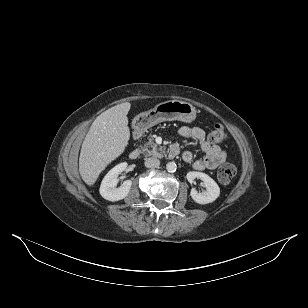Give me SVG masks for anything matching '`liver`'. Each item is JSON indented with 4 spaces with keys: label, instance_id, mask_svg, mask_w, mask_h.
Here are the masks:
<instances>
[{
    "label": "liver",
    "instance_id": "6515ba94",
    "mask_svg": "<svg viewBox=\"0 0 308 308\" xmlns=\"http://www.w3.org/2000/svg\"><path fill=\"white\" fill-rule=\"evenodd\" d=\"M130 107L129 102L118 104L92 123L79 157V173L87 185H94L107 165L124 152L130 138L127 118Z\"/></svg>",
    "mask_w": 308,
    "mask_h": 308
}]
</instances>
